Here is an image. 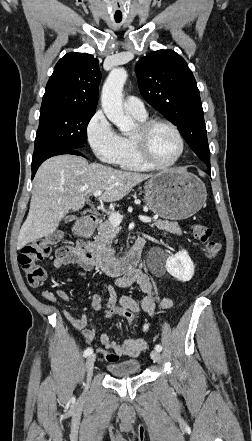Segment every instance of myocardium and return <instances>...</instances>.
Returning <instances> with one entry per match:
<instances>
[{
  "label": "myocardium",
  "instance_id": "myocardium-1",
  "mask_svg": "<svg viewBox=\"0 0 252 441\" xmlns=\"http://www.w3.org/2000/svg\"><path fill=\"white\" fill-rule=\"evenodd\" d=\"M157 126H166L170 128L179 142V152L177 156L167 163H157L152 158L148 148V137ZM135 148L140 160L150 169L161 170L167 169L177 164L185 153V140L178 127L170 121L163 119L146 120L139 124L138 131L132 136Z\"/></svg>",
  "mask_w": 252,
  "mask_h": 441
}]
</instances>
